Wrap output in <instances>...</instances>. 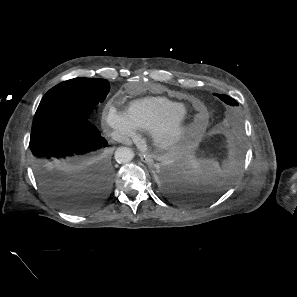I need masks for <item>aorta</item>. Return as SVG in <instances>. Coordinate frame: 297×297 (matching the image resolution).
I'll return each mask as SVG.
<instances>
[{
  "label": "aorta",
  "mask_w": 297,
  "mask_h": 297,
  "mask_svg": "<svg viewBox=\"0 0 297 297\" xmlns=\"http://www.w3.org/2000/svg\"><path fill=\"white\" fill-rule=\"evenodd\" d=\"M134 158L133 151L128 147H120L115 152V160L119 163H128Z\"/></svg>",
  "instance_id": "aorta-1"
}]
</instances>
